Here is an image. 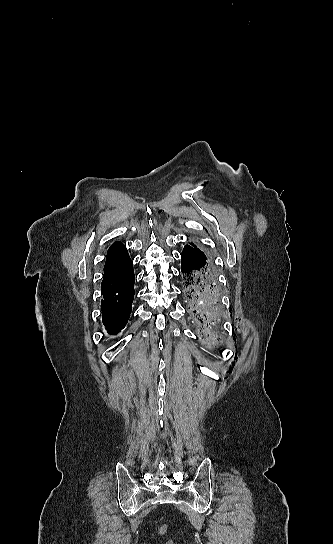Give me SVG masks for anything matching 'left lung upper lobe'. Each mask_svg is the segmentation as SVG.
<instances>
[{
  "mask_svg": "<svg viewBox=\"0 0 333 544\" xmlns=\"http://www.w3.org/2000/svg\"><path fill=\"white\" fill-rule=\"evenodd\" d=\"M191 246L197 248L196 245H195L194 243H191ZM197 249H198V248H197ZM198 250H199L201 253H203L200 249H198ZM203 254H204V253H203ZM204 255H205V254H204Z\"/></svg>",
  "mask_w": 333,
  "mask_h": 544,
  "instance_id": "obj_1",
  "label": "left lung upper lobe"
}]
</instances>
